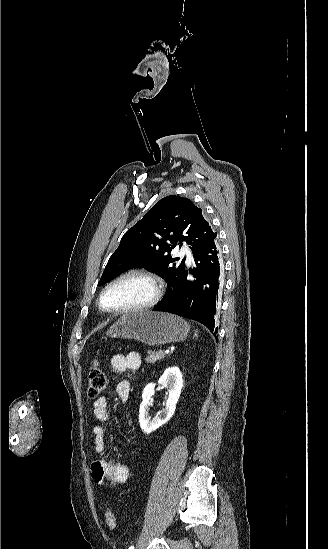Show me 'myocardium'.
I'll return each instance as SVG.
<instances>
[{
    "label": "myocardium",
    "mask_w": 328,
    "mask_h": 549,
    "mask_svg": "<svg viewBox=\"0 0 328 549\" xmlns=\"http://www.w3.org/2000/svg\"><path fill=\"white\" fill-rule=\"evenodd\" d=\"M137 275L141 276L145 279H147L152 287H153V293L151 297L137 305H132L124 308H107L103 303V298L107 291L111 289L114 285L119 283L121 280H123L126 277ZM164 292V282L162 278L156 274L154 271L151 270L150 267L144 266V265H136L131 266L118 274L116 277H114L111 281H109L101 290L99 297H98V308L99 310L112 317H121V316H128L132 314H138V313H144V312H150L155 309L156 305L160 301L162 295Z\"/></svg>",
    "instance_id": "f54148a6"
}]
</instances>
